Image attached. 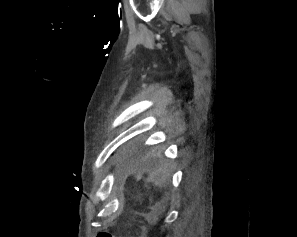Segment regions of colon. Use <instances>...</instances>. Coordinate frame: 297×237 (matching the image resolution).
Segmentation results:
<instances>
[{"mask_svg":"<svg viewBox=\"0 0 297 237\" xmlns=\"http://www.w3.org/2000/svg\"><path fill=\"white\" fill-rule=\"evenodd\" d=\"M98 237H114L113 235H111L109 232L107 231H101L99 234H98ZM140 237H144V236H140Z\"/></svg>","mask_w":297,"mask_h":237,"instance_id":"obj_1","label":"colon"}]
</instances>
